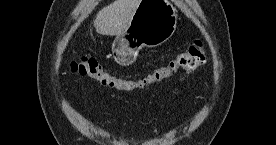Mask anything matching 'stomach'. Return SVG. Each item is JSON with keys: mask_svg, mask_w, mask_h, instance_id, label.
Here are the masks:
<instances>
[{"mask_svg": "<svg viewBox=\"0 0 276 145\" xmlns=\"http://www.w3.org/2000/svg\"><path fill=\"white\" fill-rule=\"evenodd\" d=\"M176 26V9L167 0H141L127 29L112 43L115 61L122 66L131 64L143 47L166 42Z\"/></svg>", "mask_w": 276, "mask_h": 145, "instance_id": "obj_1", "label": "stomach"}]
</instances>
